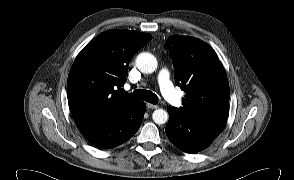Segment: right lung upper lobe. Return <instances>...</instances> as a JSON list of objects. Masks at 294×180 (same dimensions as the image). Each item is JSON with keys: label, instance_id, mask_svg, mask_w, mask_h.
<instances>
[{"label": "right lung upper lobe", "instance_id": "right-lung-upper-lobe-1", "mask_svg": "<svg viewBox=\"0 0 294 180\" xmlns=\"http://www.w3.org/2000/svg\"><path fill=\"white\" fill-rule=\"evenodd\" d=\"M152 36L129 30H108L76 57L68 76L67 97L78 126L104 121L133 100L121 94L133 55Z\"/></svg>", "mask_w": 294, "mask_h": 180}]
</instances>
